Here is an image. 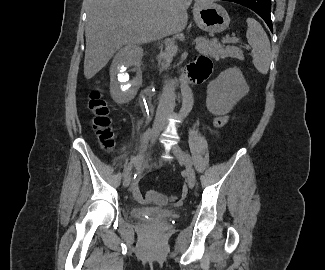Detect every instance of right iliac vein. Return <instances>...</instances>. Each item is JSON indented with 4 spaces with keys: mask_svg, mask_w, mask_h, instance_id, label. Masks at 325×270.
Returning a JSON list of instances; mask_svg holds the SVG:
<instances>
[{
    "mask_svg": "<svg viewBox=\"0 0 325 270\" xmlns=\"http://www.w3.org/2000/svg\"><path fill=\"white\" fill-rule=\"evenodd\" d=\"M163 128V125L160 122H155L152 130L150 131V140L151 142H154L156 138L158 137L159 133L161 132ZM142 159L139 160V162L136 164V167H139L141 165ZM131 182V174H128L125 176L123 185L124 187H127Z\"/></svg>",
    "mask_w": 325,
    "mask_h": 270,
    "instance_id": "63e3f726",
    "label": "right iliac vein"
}]
</instances>
